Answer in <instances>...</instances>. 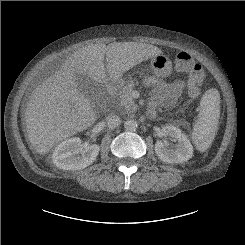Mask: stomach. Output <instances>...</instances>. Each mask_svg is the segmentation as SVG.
Returning <instances> with one entry per match:
<instances>
[{"instance_id":"0dacf381","label":"stomach","mask_w":245,"mask_h":245,"mask_svg":"<svg viewBox=\"0 0 245 245\" xmlns=\"http://www.w3.org/2000/svg\"><path fill=\"white\" fill-rule=\"evenodd\" d=\"M150 67L156 75L165 77L170 74L172 63L166 55L160 54L151 58Z\"/></svg>"}]
</instances>
